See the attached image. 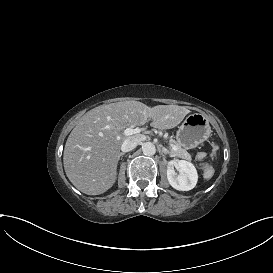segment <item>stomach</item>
<instances>
[{
	"mask_svg": "<svg viewBox=\"0 0 273 273\" xmlns=\"http://www.w3.org/2000/svg\"><path fill=\"white\" fill-rule=\"evenodd\" d=\"M211 133L209 119L202 113L188 115L177 131L178 143L188 149L205 141Z\"/></svg>",
	"mask_w": 273,
	"mask_h": 273,
	"instance_id": "1",
	"label": "stomach"
}]
</instances>
